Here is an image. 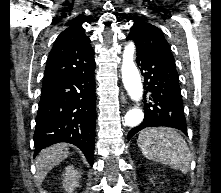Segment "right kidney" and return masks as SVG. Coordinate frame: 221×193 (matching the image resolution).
I'll return each instance as SVG.
<instances>
[{
	"mask_svg": "<svg viewBox=\"0 0 221 193\" xmlns=\"http://www.w3.org/2000/svg\"><path fill=\"white\" fill-rule=\"evenodd\" d=\"M63 177V188L67 193H73L74 189L79 186L81 172L75 169L73 165H69L65 168Z\"/></svg>",
	"mask_w": 221,
	"mask_h": 193,
	"instance_id": "right-kidney-1",
	"label": "right kidney"
}]
</instances>
